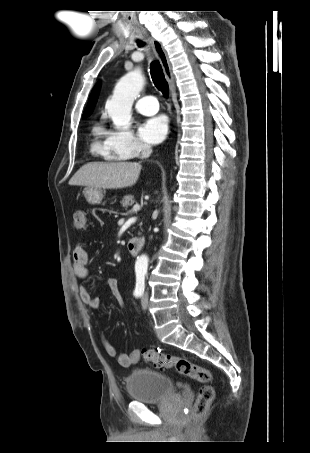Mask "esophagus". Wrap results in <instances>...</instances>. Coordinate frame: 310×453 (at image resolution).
I'll return each instance as SVG.
<instances>
[{"label": "esophagus", "instance_id": "obj_1", "mask_svg": "<svg viewBox=\"0 0 310 453\" xmlns=\"http://www.w3.org/2000/svg\"><path fill=\"white\" fill-rule=\"evenodd\" d=\"M148 42L153 47V49L161 63L166 80L170 87V91H171V93H173L175 90V81H174V76H173L171 64L169 62L167 53H166L165 49L163 48L160 41L150 37V38H148Z\"/></svg>", "mask_w": 310, "mask_h": 453}]
</instances>
